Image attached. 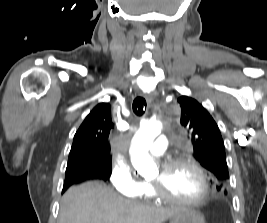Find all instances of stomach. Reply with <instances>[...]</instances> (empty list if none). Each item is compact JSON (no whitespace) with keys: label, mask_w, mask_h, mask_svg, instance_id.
Returning a JSON list of instances; mask_svg holds the SVG:
<instances>
[{"label":"stomach","mask_w":267,"mask_h":223,"mask_svg":"<svg viewBox=\"0 0 267 223\" xmlns=\"http://www.w3.org/2000/svg\"><path fill=\"white\" fill-rule=\"evenodd\" d=\"M169 223H205V220L198 211L183 207L177 215L170 218Z\"/></svg>","instance_id":"obj_1"}]
</instances>
